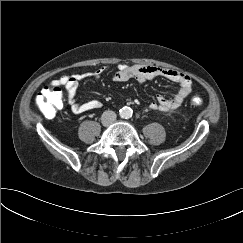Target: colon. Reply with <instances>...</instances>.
Returning <instances> with one entry per match:
<instances>
[{
  "instance_id": "1",
  "label": "colon",
  "mask_w": 243,
  "mask_h": 243,
  "mask_svg": "<svg viewBox=\"0 0 243 243\" xmlns=\"http://www.w3.org/2000/svg\"><path fill=\"white\" fill-rule=\"evenodd\" d=\"M35 103L46 117L53 118L63 106L62 91L59 87H46L37 95ZM191 104L200 106L202 99L195 96L191 99Z\"/></svg>"
}]
</instances>
